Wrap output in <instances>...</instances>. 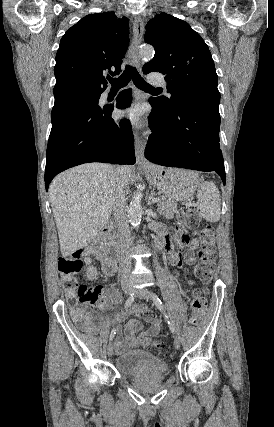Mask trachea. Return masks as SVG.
Segmentation results:
<instances>
[{
    "mask_svg": "<svg viewBox=\"0 0 274 427\" xmlns=\"http://www.w3.org/2000/svg\"><path fill=\"white\" fill-rule=\"evenodd\" d=\"M133 80L135 86L137 88H140L141 90H144L146 92L150 90H161V88L155 89L151 85H149L147 82H145L144 78H142L135 67L132 66H126L124 72L120 77L118 78H111L109 82L112 85V88H122L126 87V85L129 83L130 80Z\"/></svg>",
    "mask_w": 274,
    "mask_h": 427,
    "instance_id": "3493384b",
    "label": "trachea"
}]
</instances>
